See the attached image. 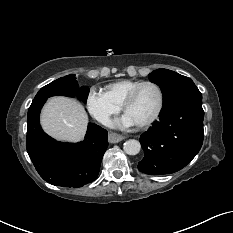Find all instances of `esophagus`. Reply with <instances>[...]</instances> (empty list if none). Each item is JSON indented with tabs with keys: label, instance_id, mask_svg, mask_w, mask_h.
I'll use <instances>...</instances> for the list:
<instances>
[{
	"label": "esophagus",
	"instance_id": "esophagus-1",
	"mask_svg": "<svg viewBox=\"0 0 233 233\" xmlns=\"http://www.w3.org/2000/svg\"><path fill=\"white\" fill-rule=\"evenodd\" d=\"M123 139H124V137L122 135L118 134V133H115V132H112V131H110L108 133V141H109V143H112V144L118 143V142H120Z\"/></svg>",
	"mask_w": 233,
	"mask_h": 233
}]
</instances>
